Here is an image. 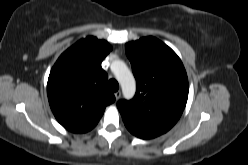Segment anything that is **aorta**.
I'll return each mask as SVG.
<instances>
[{
    "mask_svg": "<svg viewBox=\"0 0 248 165\" xmlns=\"http://www.w3.org/2000/svg\"><path fill=\"white\" fill-rule=\"evenodd\" d=\"M111 70L122 87L123 96L131 99L136 92V82L132 72L121 60L114 61L111 64Z\"/></svg>",
    "mask_w": 248,
    "mask_h": 165,
    "instance_id": "obj_1",
    "label": "aorta"
}]
</instances>
